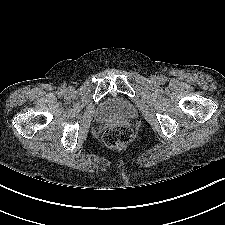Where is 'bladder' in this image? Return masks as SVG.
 <instances>
[{
    "label": "bladder",
    "mask_w": 225,
    "mask_h": 225,
    "mask_svg": "<svg viewBox=\"0 0 225 225\" xmlns=\"http://www.w3.org/2000/svg\"><path fill=\"white\" fill-rule=\"evenodd\" d=\"M135 114L133 103L124 98H113L102 105L98 118L107 121L117 117L130 118Z\"/></svg>",
    "instance_id": "31cf9c89"
}]
</instances>
